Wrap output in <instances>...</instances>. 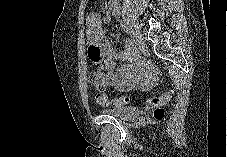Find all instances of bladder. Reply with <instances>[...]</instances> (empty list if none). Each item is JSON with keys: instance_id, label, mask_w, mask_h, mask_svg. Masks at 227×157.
Listing matches in <instances>:
<instances>
[{"instance_id": "1", "label": "bladder", "mask_w": 227, "mask_h": 157, "mask_svg": "<svg viewBox=\"0 0 227 157\" xmlns=\"http://www.w3.org/2000/svg\"><path fill=\"white\" fill-rule=\"evenodd\" d=\"M102 113L128 121L137 118L140 115L141 110L136 106H117L106 108L102 110Z\"/></svg>"}]
</instances>
